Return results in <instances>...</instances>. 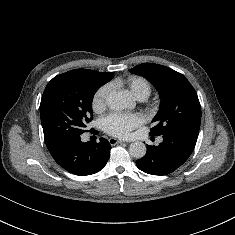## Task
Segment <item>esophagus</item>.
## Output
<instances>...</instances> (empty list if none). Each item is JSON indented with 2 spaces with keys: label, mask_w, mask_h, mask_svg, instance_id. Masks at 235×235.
<instances>
[{
  "label": "esophagus",
  "mask_w": 235,
  "mask_h": 235,
  "mask_svg": "<svg viewBox=\"0 0 235 235\" xmlns=\"http://www.w3.org/2000/svg\"><path fill=\"white\" fill-rule=\"evenodd\" d=\"M124 141H122V140H119V139H116V138H110L109 139V143H110V145H116V144H119V143H123Z\"/></svg>",
  "instance_id": "esophagus-1"
}]
</instances>
